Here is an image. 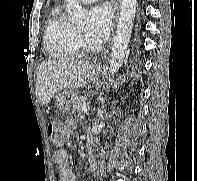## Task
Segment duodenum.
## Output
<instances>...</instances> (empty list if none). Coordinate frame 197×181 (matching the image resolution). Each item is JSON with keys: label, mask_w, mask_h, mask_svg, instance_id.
I'll list each match as a JSON object with an SVG mask.
<instances>
[{"label": "duodenum", "mask_w": 197, "mask_h": 181, "mask_svg": "<svg viewBox=\"0 0 197 181\" xmlns=\"http://www.w3.org/2000/svg\"><path fill=\"white\" fill-rule=\"evenodd\" d=\"M86 146H87L88 154H91L92 150H93V140H92L91 136L87 137V139H86Z\"/></svg>", "instance_id": "410a0bca"}]
</instances>
